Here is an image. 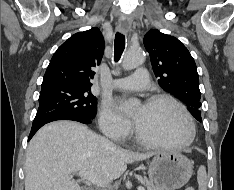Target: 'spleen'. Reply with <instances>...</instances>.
Masks as SVG:
<instances>
[{"label": "spleen", "mask_w": 234, "mask_h": 190, "mask_svg": "<svg viewBox=\"0 0 234 190\" xmlns=\"http://www.w3.org/2000/svg\"><path fill=\"white\" fill-rule=\"evenodd\" d=\"M197 182L199 190H207V174L204 166H201L197 172Z\"/></svg>", "instance_id": "obj_1"}]
</instances>
